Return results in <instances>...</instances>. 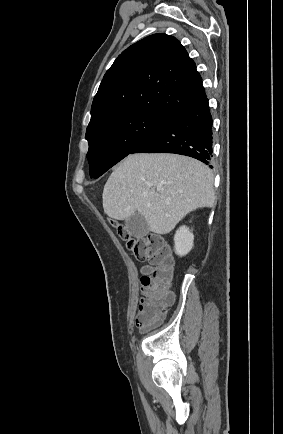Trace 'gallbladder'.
Returning a JSON list of instances; mask_svg holds the SVG:
<instances>
[{
	"label": "gallbladder",
	"mask_w": 283,
	"mask_h": 434,
	"mask_svg": "<svg viewBox=\"0 0 283 434\" xmlns=\"http://www.w3.org/2000/svg\"><path fill=\"white\" fill-rule=\"evenodd\" d=\"M125 229L128 234L136 238H142L149 233L146 219L138 212H135L125 221Z\"/></svg>",
	"instance_id": "gallbladder-1"
}]
</instances>
